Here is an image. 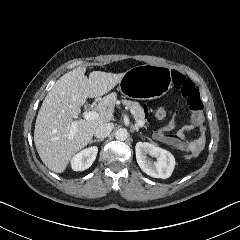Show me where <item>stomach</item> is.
<instances>
[{
    "label": "stomach",
    "instance_id": "0dacf381",
    "mask_svg": "<svg viewBox=\"0 0 240 240\" xmlns=\"http://www.w3.org/2000/svg\"><path fill=\"white\" fill-rule=\"evenodd\" d=\"M170 87V71L150 65L130 68L118 83V90L124 97L138 100L159 98L165 95Z\"/></svg>",
    "mask_w": 240,
    "mask_h": 240
}]
</instances>
